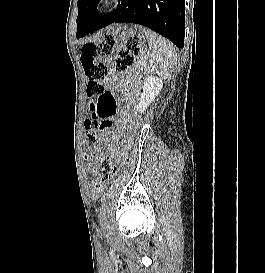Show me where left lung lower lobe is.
<instances>
[{
	"mask_svg": "<svg viewBox=\"0 0 265 273\" xmlns=\"http://www.w3.org/2000/svg\"><path fill=\"white\" fill-rule=\"evenodd\" d=\"M184 0H121L116 10L100 14L95 10L84 17L78 38L112 23L144 25L183 48L185 33Z\"/></svg>",
	"mask_w": 265,
	"mask_h": 273,
	"instance_id": "left-lung-lower-lobe-1",
	"label": "left lung lower lobe"
}]
</instances>
